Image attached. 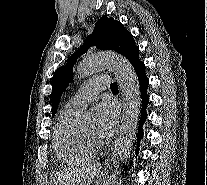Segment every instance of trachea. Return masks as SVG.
Returning a JSON list of instances; mask_svg holds the SVG:
<instances>
[{
  "label": "trachea",
  "instance_id": "obj_1",
  "mask_svg": "<svg viewBox=\"0 0 207 185\" xmlns=\"http://www.w3.org/2000/svg\"><path fill=\"white\" fill-rule=\"evenodd\" d=\"M110 89H111V90H118V85H117V83H111V85H110Z\"/></svg>",
  "mask_w": 207,
  "mask_h": 185
}]
</instances>
